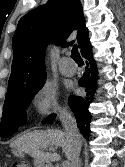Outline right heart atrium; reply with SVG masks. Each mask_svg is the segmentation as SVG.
<instances>
[{"label": "right heart atrium", "instance_id": "obj_1", "mask_svg": "<svg viewBox=\"0 0 125 167\" xmlns=\"http://www.w3.org/2000/svg\"><path fill=\"white\" fill-rule=\"evenodd\" d=\"M32 106L36 116L41 120L59 117L67 112V108L61 102L58 89L49 81L43 83L35 92Z\"/></svg>", "mask_w": 125, "mask_h": 167}]
</instances>
